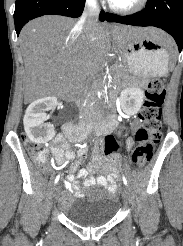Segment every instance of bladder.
<instances>
[{"mask_svg":"<svg viewBox=\"0 0 183 246\" xmlns=\"http://www.w3.org/2000/svg\"><path fill=\"white\" fill-rule=\"evenodd\" d=\"M119 208L118 200L101 189L80 197L63 209L65 216L81 227H97L111 221Z\"/></svg>","mask_w":183,"mask_h":246,"instance_id":"1","label":"bladder"}]
</instances>
